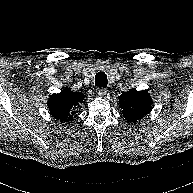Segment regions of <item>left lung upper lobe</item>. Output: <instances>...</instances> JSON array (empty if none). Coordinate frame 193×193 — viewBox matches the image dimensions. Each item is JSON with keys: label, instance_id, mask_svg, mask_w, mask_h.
<instances>
[{"label": "left lung upper lobe", "instance_id": "5c2ea615", "mask_svg": "<svg viewBox=\"0 0 193 193\" xmlns=\"http://www.w3.org/2000/svg\"><path fill=\"white\" fill-rule=\"evenodd\" d=\"M118 99L122 114L128 122H136L152 110V98L146 90L131 89L123 92Z\"/></svg>", "mask_w": 193, "mask_h": 193}]
</instances>
